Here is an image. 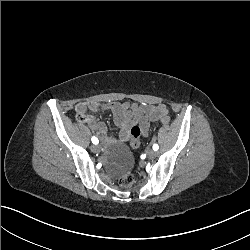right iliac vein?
I'll return each instance as SVG.
<instances>
[{"mask_svg":"<svg viewBox=\"0 0 250 250\" xmlns=\"http://www.w3.org/2000/svg\"><path fill=\"white\" fill-rule=\"evenodd\" d=\"M100 150L99 146L98 145H92L91 146V151L94 152V153H97L98 151Z\"/></svg>","mask_w":250,"mask_h":250,"instance_id":"63e3f726","label":"right iliac vein"}]
</instances>
